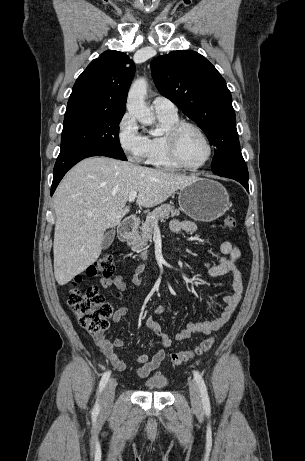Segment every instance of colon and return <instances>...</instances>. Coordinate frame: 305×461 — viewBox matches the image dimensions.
<instances>
[{"label":"colon","instance_id":"obj_1","mask_svg":"<svg viewBox=\"0 0 305 461\" xmlns=\"http://www.w3.org/2000/svg\"><path fill=\"white\" fill-rule=\"evenodd\" d=\"M237 225L233 216L224 218V226L234 229ZM115 272L113 258L110 254H104L88 269L89 276H101L110 278ZM78 281L72 282V288L68 294V305L77 317L81 327L88 333L98 335L103 333L108 327V319L112 315L113 309L109 302L94 286L85 288L78 287ZM215 344V339L209 337L203 340L194 350L172 352L170 362L173 365H181L195 356L208 352Z\"/></svg>","mask_w":305,"mask_h":461}]
</instances>
